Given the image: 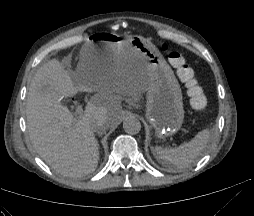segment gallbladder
Masks as SVG:
<instances>
[{
  "instance_id": "gallbladder-1",
  "label": "gallbladder",
  "mask_w": 254,
  "mask_h": 216,
  "mask_svg": "<svg viewBox=\"0 0 254 216\" xmlns=\"http://www.w3.org/2000/svg\"><path fill=\"white\" fill-rule=\"evenodd\" d=\"M62 64H63L64 66H67V62H66L65 59L63 60Z\"/></svg>"
}]
</instances>
